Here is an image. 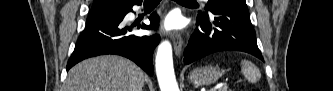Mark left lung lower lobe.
<instances>
[{"label": "left lung lower lobe", "instance_id": "left-lung-lower-lobe-1", "mask_svg": "<svg viewBox=\"0 0 333 91\" xmlns=\"http://www.w3.org/2000/svg\"><path fill=\"white\" fill-rule=\"evenodd\" d=\"M197 17L198 28L184 51V63L190 64L218 51H243L263 60L246 2L225 1L213 4Z\"/></svg>", "mask_w": 333, "mask_h": 91}]
</instances>
